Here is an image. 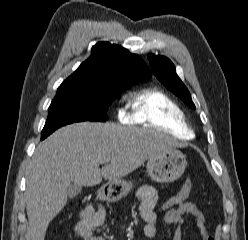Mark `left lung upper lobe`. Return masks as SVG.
I'll list each match as a JSON object with an SVG mask.
<instances>
[{"mask_svg": "<svg viewBox=\"0 0 248 240\" xmlns=\"http://www.w3.org/2000/svg\"><path fill=\"white\" fill-rule=\"evenodd\" d=\"M148 57L151 68L158 80L162 82L166 88L179 96L190 108L195 109L191 95L186 86L176 74L173 63L164 56H155L154 54H149Z\"/></svg>", "mask_w": 248, "mask_h": 240, "instance_id": "5c2ea615", "label": "left lung upper lobe"}]
</instances>
